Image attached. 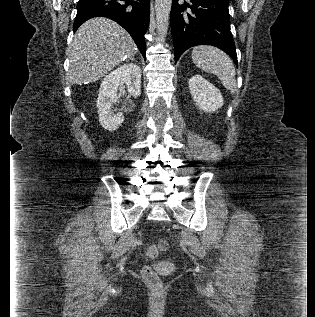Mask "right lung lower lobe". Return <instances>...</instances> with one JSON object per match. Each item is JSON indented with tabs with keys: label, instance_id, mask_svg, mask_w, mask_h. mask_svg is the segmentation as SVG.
Returning a JSON list of instances; mask_svg holds the SVG:
<instances>
[{
	"label": "right lung lower lobe",
	"instance_id": "obj_1",
	"mask_svg": "<svg viewBox=\"0 0 315 317\" xmlns=\"http://www.w3.org/2000/svg\"><path fill=\"white\" fill-rule=\"evenodd\" d=\"M74 32L86 20L102 16L120 24L134 39L146 58L144 34L149 25L150 0H79Z\"/></svg>",
	"mask_w": 315,
	"mask_h": 317
}]
</instances>
